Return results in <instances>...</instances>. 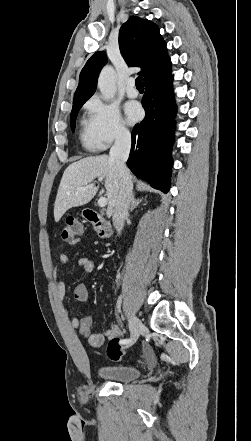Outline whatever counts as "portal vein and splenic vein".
<instances>
[{
	"label": "portal vein and splenic vein",
	"mask_w": 251,
	"mask_h": 441,
	"mask_svg": "<svg viewBox=\"0 0 251 441\" xmlns=\"http://www.w3.org/2000/svg\"><path fill=\"white\" fill-rule=\"evenodd\" d=\"M94 186V184H90V185H88V186H86V187H79L78 189H80V190H86V189H88V188H90V187H93ZM107 205V198H105V197H100L99 198V200H98V206L99 207H105Z\"/></svg>",
	"instance_id": "obj_1"
}]
</instances>
